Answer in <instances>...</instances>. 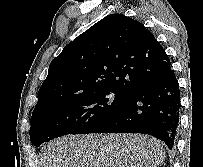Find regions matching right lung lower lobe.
<instances>
[{
  "label": "right lung lower lobe",
  "mask_w": 203,
  "mask_h": 167,
  "mask_svg": "<svg viewBox=\"0 0 203 167\" xmlns=\"http://www.w3.org/2000/svg\"><path fill=\"white\" fill-rule=\"evenodd\" d=\"M180 90L172 69L165 75L137 87L125 102L93 133H142L175 143L179 125Z\"/></svg>",
  "instance_id": "98d812e1"
}]
</instances>
